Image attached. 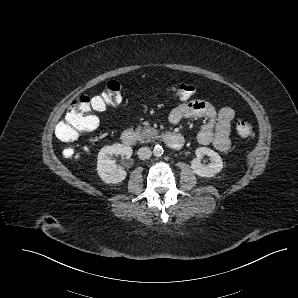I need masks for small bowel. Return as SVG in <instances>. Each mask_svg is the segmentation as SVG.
<instances>
[{
    "mask_svg": "<svg viewBox=\"0 0 298 298\" xmlns=\"http://www.w3.org/2000/svg\"><path fill=\"white\" fill-rule=\"evenodd\" d=\"M235 112L231 107L216 109L211 103L196 99L183 102L171 110L170 123L176 125L183 119L203 118V126L197 133V140L202 145H212L221 152L231 147V125Z\"/></svg>",
    "mask_w": 298,
    "mask_h": 298,
    "instance_id": "obj_1",
    "label": "small bowel"
}]
</instances>
